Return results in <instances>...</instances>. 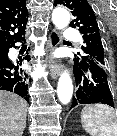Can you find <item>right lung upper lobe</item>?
<instances>
[{"label":"right lung upper lobe","mask_w":117,"mask_h":136,"mask_svg":"<svg viewBox=\"0 0 117 136\" xmlns=\"http://www.w3.org/2000/svg\"><path fill=\"white\" fill-rule=\"evenodd\" d=\"M27 21L25 0H0V54L23 38Z\"/></svg>","instance_id":"right-lung-upper-lobe-1"}]
</instances>
